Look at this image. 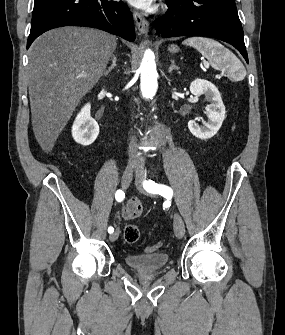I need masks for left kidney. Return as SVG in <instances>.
I'll return each mask as SVG.
<instances>
[{"label": "left kidney", "mask_w": 285, "mask_h": 335, "mask_svg": "<svg viewBox=\"0 0 285 335\" xmlns=\"http://www.w3.org/2000/svg\"><path fill=\"white\" fill-rule=\"evenodd\" d=\"M190 92L193 96L206 94V96L212 100V104H209V106L205 108L208 122H204V126H198L194 120H190V122H188V128L191 134L196 136V138H200V140L213 138L219 128H221L226 114L221 94L218 88H216L214 84H211V82H207V80H194V82L190 84Z\"/></svg>", "instance_id": "left-kidney-1"}]
</instances>
